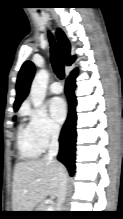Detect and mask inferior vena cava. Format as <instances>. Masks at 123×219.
Masks as SVG:
<instances>
[{
	"instance_id": "inferior-vena-cava-1",
	"label": "inferior vena cava",
	"mask_w": 123,
	"mask_h": 219,
	"mask_svg": "<svg viewBox=\"0 0 123 219\" xmlns=\"http://www.w3.org/2000/svg\"><path fill=\"white\" fill-rule=\"evenodd\" d=\"M59 133H60L59 127L55 126L52 128L51 142H50L48 154L46 155V158L49 160H53L58 154V151H59V142H58ZM66 194H67V179L62 178L61 182H60L59 190H58V195H57L59 209L62 207V205L65 201ZM59 211H61V210H59Z\"/></svg>"
}]
</instances>
